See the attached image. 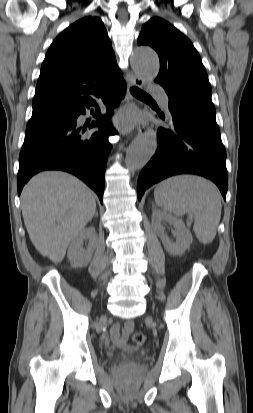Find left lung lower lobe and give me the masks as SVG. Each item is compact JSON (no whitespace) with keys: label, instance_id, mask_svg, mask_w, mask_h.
Listing matches in <instances>:
<instances>
[{"label":"left lung lower lobe","instance_id":"1","mask_svg":"<svg viewBox=\"0 0 253 413\" xmlns=\"http://www.w3.org/2000/svg\"><path fill=\"white\" fill-rule=\"evenodd\" d=\"M168 97L170 113L166 119L158 111L163 127L157 130V151L139 175L138 199L151 185L183 173L209 178L216 183L225 199L228 189L226 151L215 110L185 99Z\"/></svg>","mask_w":253,"mask_h":413}]
</instances>
